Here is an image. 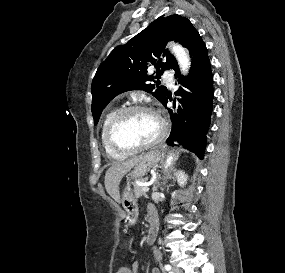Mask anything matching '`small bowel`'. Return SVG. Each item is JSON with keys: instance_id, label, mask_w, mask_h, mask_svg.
Masks as SVG:
<instances>
[{"instance_id": "1", "label": "small bowel", "mask_w": 285, "mask_h": 273, "mask_svg": "<svg viewBox=\"0 0 285 273\" xmlns=\"http://www.w3.org/2000/svg\"><path fill=\"white\" fill-rule=\"evenodd\" d=\"M151 210H154V209L150 208L149 211H151ZM154 256L157 260L160 258V255L157 251H154ZM123 268L126 269V273H138L139 272L138 262H134L131 267L123 266ZM152 273H159V270L155 268L152 270Z\"/></svg>"}]
</instances>
